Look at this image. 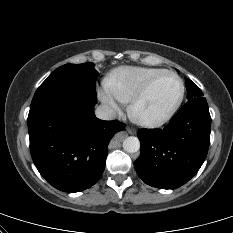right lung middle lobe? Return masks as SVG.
<instances>
[{
  "label": "right lung middle lobe",
  "instance_id": "right-lung-middle-lobe-1",
  "mask_svg": "<svg viewBox=\"0 0 233 233\" xmlns=\"http://www.w3.org/2000/svg\"><path fill=\"white\" fill-rule=\"evenodd\" d=\"M97 76L93 63L63 65L39 86L31 106L57 96L80 95L95 98Z\"/></svg>",
  "mask_w": 233,
  "mask_h": 233
}]
</instances>
